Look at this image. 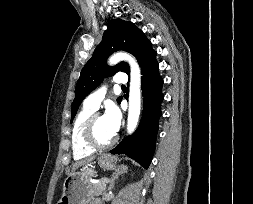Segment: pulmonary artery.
<instances>
[{
	"label": "pulmonary artery",
	"mask_w": 253,
	"mask_h": 204,
	"mask_svg": "<svg viewBox=\"0 0 253 204\" xmlns=\"http://www.w3.org/2000/svg\"><path fill=\"white\" fill-rule=\"evenodd\" d=\"M128 82V77L125 73H117L113 80L112 83L117 86H124ZM107 91V86L103 85L99 89L95 90L92 92L90 95L86 97L84 100V105L92 108L94 110H97L101 101L104 99Z\"/></svg>",
	"instance_id": "pulmonary-artery-1"
}]
</instances>
